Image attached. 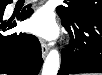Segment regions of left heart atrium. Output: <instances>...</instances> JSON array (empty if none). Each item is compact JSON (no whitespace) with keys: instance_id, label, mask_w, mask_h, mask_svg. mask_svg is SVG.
I'll return each instance as SVG.
<instances>
[{"instance_id":"left-heart-atrium-1","label":"left heart atrium","mask_w":102,"mask_h":75,"mask_svg":"<svg viewBox=\"0 0 102 75\" xmlns=\"http://www.w3.org/2000/svg\"><path fill=\"white\" fill-rule=\"evenodd\" d=\"M28 29L44 40H52L59 34L53 13L46 7L37 10L28 21Z\"/></svg>"}]
</instances>
